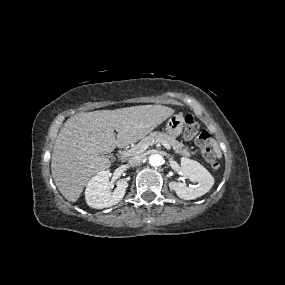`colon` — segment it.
<instances>
[{"label": "colon", "mask_w": 285, "mask_h": 285, "mask_svg": "<svg viewBox=\"0 0 285 285\" xmlns=\"http://www.w3.org/2000/svg\"><path fill=\"white\" fill-rule=\"evenodd\" d=\"M185 129L184 136L187 139L194 138L196 144L200 147L203 156L206 160L211 164L214 169H217L220 165L216 151L214 142L210 136V134L205 130L201 129L198 122L195 120L193 115L186 114L184 116Z\"/></svg>", "instance_id": "5ec220e1"}]
</instances>
